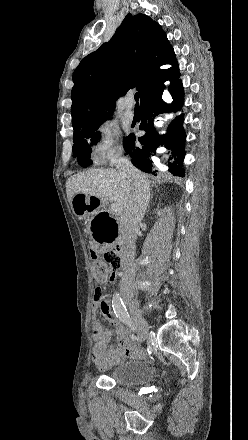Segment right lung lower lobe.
<instances>
[{"label":"right lung lower lobe","instance_id":"obj_1","mask_svg":"<svg viewBox=\"0 0 248 440\" xmlns=\"http://www.w3.org/2000/svg\"><path fill=\"white\" fill-rule=\"evenodd\" d=\"M170 93L173 98L171 105H167L161 98L163 90L156 92L141 102V124L140 130L145 131V135L138 138L141 145L135 146V135L127 136L128 142L125 147L126 154H129L131 162L140 170L155 174L151 156L155 154V150L164 143L165 147L171 150L174 161L169 163V171L173 175L184 176L182 163L184 159L185 133L182 128L183 116L176 117L168 127L165 135H158L154 128L153 120L158 114L166 111H178L183 104V88L181 80H177L170 85ZM170 157L169 159H172Z\"/></svg>","mask_w":248,"mask_h":440}]
</instances>
